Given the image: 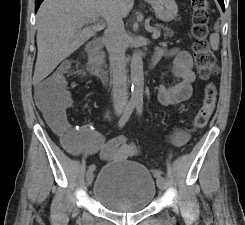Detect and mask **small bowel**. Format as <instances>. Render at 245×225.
Listing matches in <instances>:
<instances>
[{"instance_id": "1", "label": "small bowel", "mask_w": 245, "mask_h": 225, "mask_svg": "<svg viewBox=\"0 0 245 225\" xmlns=\"http://www.w3.org/2000/svg\"><path fill=\"white\" fill-rule=\"evenodd\" d=\"M155 53L159 57H168L173 61L171 74L177 81L174 85L161 86L159 88L158 100L164 106L179 105L188 100L192 94V84L196 79L192 69V57L183 50L171 49L165 50L157 48ZM70 63L63 61L59 69L68 68ZM39 85L37 86V99ZM72 97L68 91V105L64 110H69L72 107ZM57 122L62 128H71V146L69 150L76 155H91L99 153V156L104 161H121L132 159L138 156L137 148L134 144H127L126 138L116 136L109 140L97 132L92 125L78 126L75 123L66 122L61 116H57ZM188 140V133L181 127H176L171 136V143L174 146H182Z\"/></svg>"}]
</instances>
